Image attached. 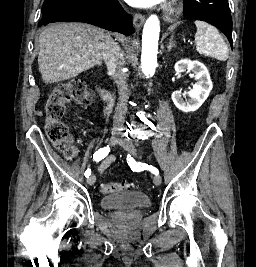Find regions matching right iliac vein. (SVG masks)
Listing matches in <instances>:
<instances>
[{
  "instance_id": "right-iliac-vein-1",
  "label": "right iliac vein",
  "mask_w": 256,
  "mask_h": 267,
  "mask_svg": "<svg viewBox=\"0 0 256 267\" xmlns=\"http://www.w3.org/2000/svg\"><path fill=\"white\" fill-rule=\"evenodd\" d=\"M119 134L117 131H113L110 135V138H109V141H108V144L110 145H113L115 144L119 139ZM96 182V177L95 175H91L88 180H87V183L88 185H93L94 183Z\"/></svg>"
}]
</instances>
